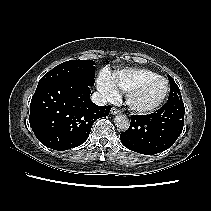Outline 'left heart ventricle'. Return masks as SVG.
<instances>
[{
	"instance_id": "obj_1",
	"label": "left heart ventricle",
	"mask_w": 211,
	"mask_h": 211,
	"mask_svg": "<svg viewBox=\"0 0 211 211\" xmlns=\"http://www.w3.org/2000/svg\"><path fill=\"white\" fill-rule=\"evenodd\" d=\"M165 91V82L156 79L143 88L134 98V102L139 106H148L156 102Z\"/></svg>"
}]
</instances>
